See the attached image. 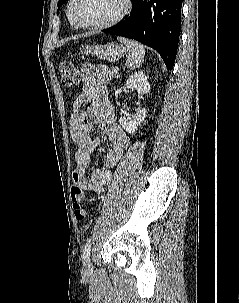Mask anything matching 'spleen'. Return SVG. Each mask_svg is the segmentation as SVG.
I'll use <instances>...</instances> for the list:
<instances>
[{
	"instance_id": "3e777b00",
	"label": "spleen",
	"mask_w": 239,
	"mask_h": 303,
	"mask_svg": "<svg viewBox=\"0 0 239 303\" xmlns=\"http://www.w3.org/2000/svg\"><path fill=\"white\" fill-rule=\"evenodd\" d=\"M118 40L123 43L129 51L126 66L133 70L138 68L144 61L145 50L141 44L134 40H129L123 37H118Z\"/></svg>"
}]
</instances>
